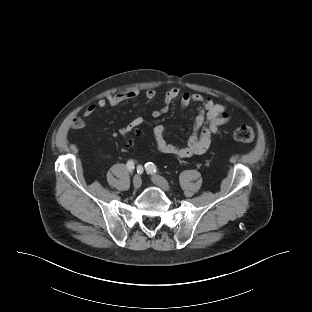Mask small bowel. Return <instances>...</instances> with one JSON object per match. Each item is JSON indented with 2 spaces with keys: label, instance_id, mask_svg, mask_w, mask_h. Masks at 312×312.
I'll return each instance as SVG.
<instances>
[{
  "label": "small bowel",
  "instance_id": "obj_1",
  "mask_svg": "<svg viewBox=\"0 0 312 312\" xmlns=\"http://www.w3.org/2000/svg\"><path fill=\"white\" fill-rule=\"evenodd\" d=\"M138 95L139 91L136 89L108 95L96 103L87 106L84 110V116L88 118L96 110H102L108 105L116 106L124 101L135 99ZM145 96L148 100H153L156 97L155 89H147ZM177 99H179L182 108H186L192 103L198 104V113L194 119L192 133L186 144L179 146L169 143L165 139L164 126L162 124H156L152 130L155 147L157 151L177 158H189L193 155L203 154L209 149L213 137L219 133L222 126L228 123L230 117L227 110L224 105L215 102L209 97H205L199 93H181L179 88L171 87L165 93L162 107L153 110L152 116L158 118L168 112L171 104ZM143 122L144 119L142 117H135L119 129V134L122 137H127L139 128Z\"/></svg>",
  "mask_w": 312,
  "mask_h": 312
}]
</instances>
